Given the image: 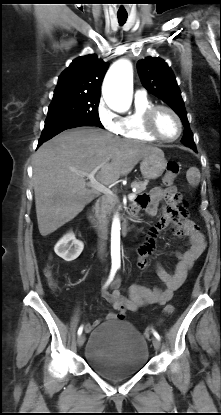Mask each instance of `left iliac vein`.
Segmentation results:
<instances>
[{"instance_id": "1", "label": "left iliac vein", "mask_w": 221, "mask_h": 415, "mask_svg": "<svg viewBox=\"0 0 221 415\" xmlns=\"http://www.w3.org/2000/svg\"><path fill=\"white\" fill-rule=\"evenodd\" d=\"M152 343H153V346L156 350L160 349L161 343H160L159 339H157L156 337L153 338Z\"/></svg>"}]
</instances>
